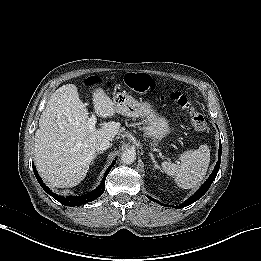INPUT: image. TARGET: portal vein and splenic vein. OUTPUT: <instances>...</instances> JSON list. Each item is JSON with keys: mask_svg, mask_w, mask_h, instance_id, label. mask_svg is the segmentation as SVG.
Wrapping results in <instances>:
<instances>
[{"mask_svg": "<svg viewBox=\"0 0 261 261\" xmlns=\"http://www.w3.org/2000/svg\"><path fill=\"white\" fill-rule=\"evenodd\" d=\"M96 117L94 115H92L89 119H88V124L90 128H94L95 124H96Z\"/></svg>", "mask_w": 261, "mask_h": 261, "instance_id": "obj_1", "label": "portal vein and splenic vein"}]
</instances>
